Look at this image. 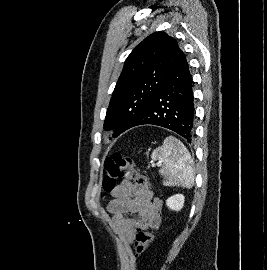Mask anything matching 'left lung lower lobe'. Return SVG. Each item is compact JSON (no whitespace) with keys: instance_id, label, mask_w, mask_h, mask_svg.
<instances>
[{"instance_id":"0a47b994","label":"left lung lower lobe","mask_w":267,"mask_h":270,"mask_svg":"<svg viewBox=\"0 0 267 270\" xmlns=\"http://www.w3.org/2000/svg\"><path fill=\"white\" fill-rule=\"evenodd\" d=\"M192 84L189 65L180 51L166 82L132 127L144 124L165 127L191 143L195 136Z\"/></svg>"}]
</instances>
